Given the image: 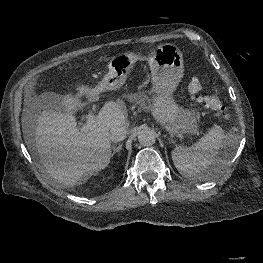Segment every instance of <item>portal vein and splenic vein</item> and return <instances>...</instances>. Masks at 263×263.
<instances>
[{
    "label": "portal vein and splenic vein",
    "instance_id": "portal-vein-and-splenic-vein-1",
    "mask_svg": "<svg viewBox=\"0 0 263 263\" xmlns=\"http://www.w3.org/2000/svg\"><path fill=\"white\" fill-rule=\"evenodd\" d=\"M95 123V115L94 113H89L87 116L86 124L81 128V131L88 132L92 129L93 124Z\"/></svg>",
    "mask_w": 263,
    "mask_h": 263
}]
</instances>
